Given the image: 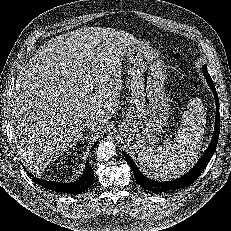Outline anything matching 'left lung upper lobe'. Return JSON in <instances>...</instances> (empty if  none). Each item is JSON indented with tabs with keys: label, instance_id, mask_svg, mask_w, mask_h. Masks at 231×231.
Returning a JSON list of instances; mask_svg holds the SVG:
<instances>
[{
	"label": "left lung upper lobe",
	"instance_id": "obj_1",
	"mask_svg": "<svg viewBox=\"0 0 231 231\" xmlns=\"http://www.w3.org/2000/svg\"><path fill=\"white\" fill-rule=\"evenodd\" d=\"M202 72H203V74H204V73L209 74L208 71H207V66H206V65H204V66L202 67Z\"/></svg>",
	"mask_w": 231,
	"mask_h": 231
}]
</instances>
